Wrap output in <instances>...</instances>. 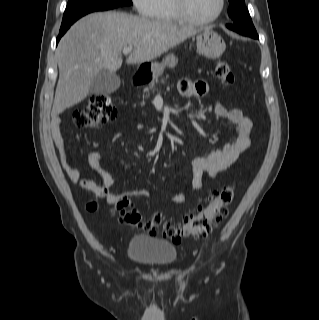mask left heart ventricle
<instances>
[{
    "instance_id": "1",
    "label": "left heart ventricle",
    "mask_w": 319,
    "mask_h": 320,
    "mask_svg": "<svg viewBox=\"0 0 319 320\" xmlns=\"http://www.w3.org/2000/svg\"><path fill=\"white\" fill-rule=\"evenodd\" d=\"M219 0H187L190 14L197 19H207L216 14Z\"/></svg>"
}]
</instances>
